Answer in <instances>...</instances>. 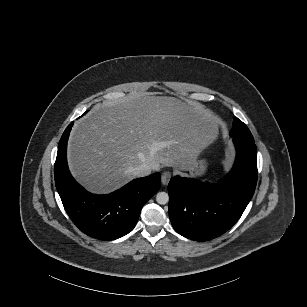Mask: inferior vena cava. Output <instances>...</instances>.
Wrapping results in <instances>:
<instances>
[{
    "label": "inferior vena cava",
    "instance_id": "1",
    "mask_svg": "<svg viewBox=\"0 0 307 307\" xmlns=\"http://www.w3.org/2000/svg\"><path fill=\"white\" fill-rule=\"evenodd\" d=\"M128 173L132 174L135 177H143L151 173V168L147 164H141L137 167L129 168Z\"/></svg>",
    "mask_w": 307,
    "mask_h": 307
}]
</instances>
